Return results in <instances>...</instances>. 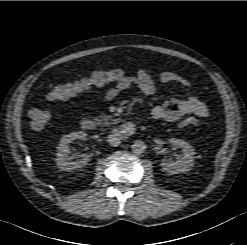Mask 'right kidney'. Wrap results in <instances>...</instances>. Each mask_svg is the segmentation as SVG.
<instances>
[{
  "label": "right kidney",
  "mask_w": 247,
  "mask_h": 245,
  "mask_svg": "<svg viewBox=\"0 0 247 245\" xmlns=\"http://www.w3.org/2000/svg\"><path fill=\"white\" fill-rule=\"evenodd\" d=\"M86 136L87 134L84 131H78L65 135L60 140L57 147L56 164L61 170H73L88 164L90 160L88 156H83L80 160H72V158L68 156L70 152L69 145L76 139L84 140Z\"/></svg>",
  "instance_id": "obj_1"
}]
</instances>
